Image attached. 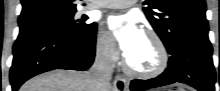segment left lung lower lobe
Wrapping results in <instances>:
<instances>
[{"instance_id":"0a47b994","label":"left lung lower lobe","mask_w":220,"mask_h":91,"mask_svg":"<svg viewBox=\"0 0 220 91\" xmlns=\"http://www.w3.org/2000/svg\"><path fill=\"white\" fill-rule=\"evenodd\" d=\"M210 41H184L170 51L168 68L158 77L132 80L130 89L141 91L169 85L185 83L199 91H214L215 70L212 61Z\"/></svg>"}]
</instances>
